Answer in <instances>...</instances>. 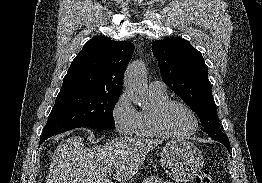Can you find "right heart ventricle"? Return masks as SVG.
Wrapping results in <instances>:
<instances>
[{
	"label": "right heart ventricle",
	"mask_w": 262,
	"mask_h": 183,
	"mask_svg": "<svg viewBox=\"0 0 262 183\" xmlns=\"http://www.w3.org/2000/svg\"><path fill=\"white\" fill-rule=\"evenodd\" d=\"M169 99L166 93H151V106L149 109L138 112V121L134 134L142 138H159L161 137L153 125V114L155 110Z\"/></svg>",
	"instance_id": "1"
}]
</instances>
